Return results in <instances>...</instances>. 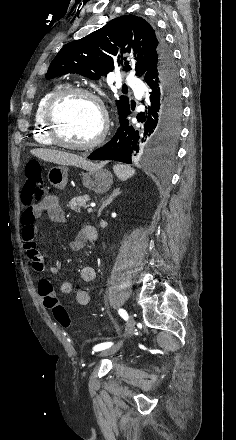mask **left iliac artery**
<instances>
[{"mask_svg":"<svg viewBox=\"0 0 236 440\" xmlns=\"http://www.w3.org/2000/svg\"><path fill=\"white\" fill-rule=\"evenodd\" d=\"M119 315L124 319L127 320L128 319V314L126 312V310L124 309H119L118 310ZM113 345L112 342H105V343H101L98 344L96 346H94L93 351H101V350H105L110 348Z\"/></svg>","mask_w":236,"mask_h":440,"instance_id":"1","label":"left iliac artery"}]
</instances>
